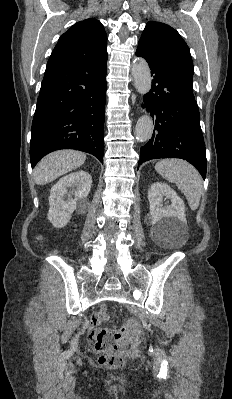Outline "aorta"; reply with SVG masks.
<instances>
[{"label": "aorta", "mask_w": 232, "mask_h": 399, "mask_svg": "<svg viewBox=\"0 0 232 399\" xmlns=\"http://www.w3.org/2000/svg\"><path fill=\"white\" fill-rule=\"evenodd\" d=\"M132 75L136 90L145 95L151 88V72L148 63L143 58H135L132 64ZM154 125L150 115H142L135 127V137L138 142L148 141L153 133Z\"/></svg>", "instance_id": "obj_1"}]
</instances>
